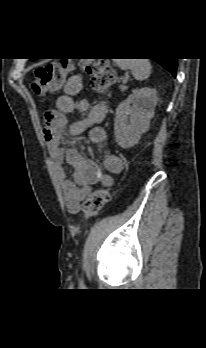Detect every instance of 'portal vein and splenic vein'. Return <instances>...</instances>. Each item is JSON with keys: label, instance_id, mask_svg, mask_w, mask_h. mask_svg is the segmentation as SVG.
<instances>
[{"label": "portal vein and splenic vein", "instance_id": "obj_1", "mask_svg": "<svg viewBox=\"0 0 206 348\" xmlns=\"http://www.w3.org/2000/svg\"><path fill=\"white\" fill-rule=\"evenodd\" d=\"M123 82H127V78H125V79L123 80Z\"/></svg>", "mask_w": 206, "mask_h": 348}]
</instances>
